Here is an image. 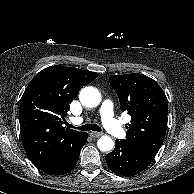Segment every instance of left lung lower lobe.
Here are the masks:
<instances>
[{"mask_svg": "<svg viewBox=\"0 0 194 194\" xmlns=\"http://www.w3.org/2000/svg\"><path fill=\"white\" fill-rule=\"evenodd\" d=\"M155 156L134 144L117 139L115 149L106 155V162L114 173L130 177L143 171Z\"/></svg>", "mask_w": 194, "mask_h": 194, "instance_id": "left-lung-lower-lobe-1", "label": "left lung lower lobe"}]
</instances>
